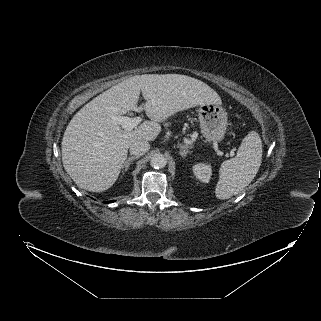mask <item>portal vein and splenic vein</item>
<instances>
[{
	"mask_svg": "<svg viewBox=\"0 0 321 321\" xmlns=\"http://www.w3.org/2000/svg\"><path fill=\"white\" fill-rule=\"evenodd\" d=\"M112 123L121 125L125 131H131L135 128L138 124L141 123V117H126V116H114L111 119ZM232 153V152H231Z\"/></svg>",
	"mask_w": 321,
	"mask_h": 321,
	"instance_id": "obj_1",
	"label": "portal vein and splenic vein"
}]
</instances>
